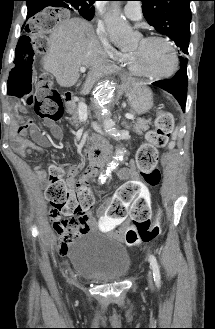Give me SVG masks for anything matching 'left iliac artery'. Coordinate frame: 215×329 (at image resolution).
<instances>
[{"instance_id":"44dca946","label":"left iliac artery","mask_w":215,"mask_h":329,"mask_svg":"<svg viewBox=\"0 0 215 329\" xmlns=\"http://www.w3.org/2000/svg\"><path fill=\"white\" fill-rule=\"evenodd\" d=\"M149 261H150V264H151V267H152L155 284H156L157 287H160V285H161V275H160V269H159L157 259L154 255L151 254L149 256Z\"/></svg>"}]
</instances>
